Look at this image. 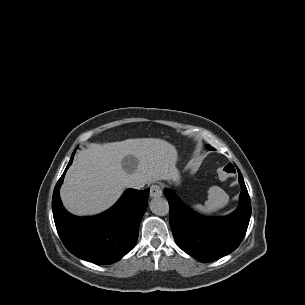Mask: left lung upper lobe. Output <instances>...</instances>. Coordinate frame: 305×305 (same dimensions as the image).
<instances>
[{
  "label": "left lung upper lobe",
  "instance_id": "5c2ea615",
  "mask_svg": "<svg viewBox=\"0 0 305 305\" xmlns=\"http://www.w3.org/2000/svg\"><path fill=\"white\" fill-rule=\"evenodd\" d=\"M207 148H208V149H211L212 147H211L210 145H207Z\"/></svg>",
  "mask_w": 305,
  "mask_h": 305
}]
</instances>
